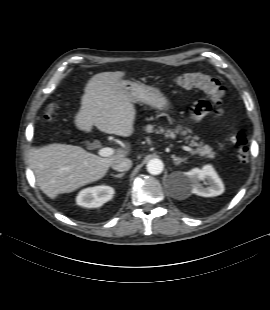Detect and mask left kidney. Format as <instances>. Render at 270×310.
<instances>
[{
    "instance_id": "obj_1",
    "label": "left kidney",
    "mask_w": 270,
    "mask_h": 310,
    "mask_svg": "<svg viewBox=\"0 0 270 310\" xmlns=\"http://www.w3.org/2000/svg\"><path fill=\"white\" fill-rule=\"evenodd\" d=\"M203 181L206 187L200 182ZM224 184L211 165H205L202 169L194 168L183 173L180 191L189 195L190 193L202 197L219 196L224 192Z\"/></svg>"
}]
</instances>
